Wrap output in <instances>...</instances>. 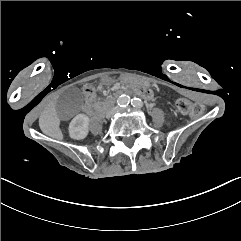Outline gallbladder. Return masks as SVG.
Segmentation results:
<instances>
[{"label": "gallbladder", "instance_id": "bac80fb5", "mask_svg": "<svg viewBox=\"0 0 241 241\" xmlns=\"http://www.w3.org/2000/svg\"><path fill=\"white\" fill-rule=\"evenodd\" d=\"M83 95L75 87L66 89L57 100V116L61 120H66L75 116L82 109Z\"/></svg>", "mask_w": 241, "mask_h": 241}]
</instances>
